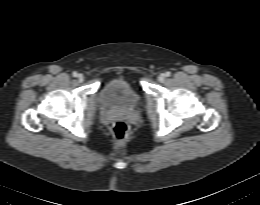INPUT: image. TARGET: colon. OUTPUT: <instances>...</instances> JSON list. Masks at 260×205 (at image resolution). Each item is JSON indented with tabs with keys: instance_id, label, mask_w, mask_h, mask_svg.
Instances as JSON below:
<instances>
[{
	"instance_id": "1",
	"label": "colon",
	"mask_w": 260,
	"mask_h": 205,
	"mask_svg": "<svg viewBox=\"0 0 260 205\" xmlns=\"http://www.w3.org/2000/svg\"><path fill=\"white\" fill-rule=\"evenodd\" d=\"M128 135V126L124 121H116L111 126V136L113 140L120 144Z\"/></svg>"
}]
</instances>
